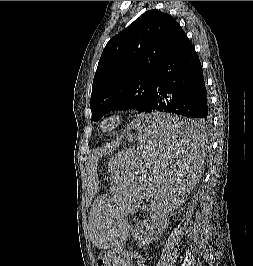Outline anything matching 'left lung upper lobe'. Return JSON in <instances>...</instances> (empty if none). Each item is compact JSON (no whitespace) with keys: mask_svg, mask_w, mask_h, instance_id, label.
Returning <instances> with one entry per match:
<instances>
[{"mask_svg":"<svg viewBox=\"0 0 253 266\" xmlns=\"http://www.w3.org/2000/svg\"><path fill=\"white\" fill-rule=\"evenodd\" d=\"M177 24L169 14L149 10L107 43L92 86L94 121L111 110L146 112L158 60Z\"/></svg>","mask_w":253,"mask_h":266,"instance_id":"left-lung-upper-lobe-1","label":"left lung upper lobe"}]
</instances>
